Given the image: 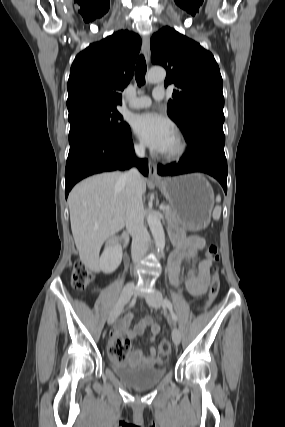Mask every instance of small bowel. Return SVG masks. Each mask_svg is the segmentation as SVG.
<instances>
[{
	"label": "small bowel",
	"mask_w": 285,
	"mask_h": 427,
	"mask_svg": "<svg viewBox=\"0 0 285 427\" xmlns=\"http://www.w3.org/2000/svg\"><path fill=\"white\" fill-rule=\"evenodd\" d=\"M172 235L174 243L176 244V249L170 255L168 262L170 279L174 284H177L182 262H189L190 267L187 271L186 288L191 295L200 296L205 292L210 279L209 270L211 261L208 259H202L198 256V253L203 249L205 242L200 236L184 237L178 230H173ZM133 317L134 314L129 312L115 324L111 331L110 347H114L116 344L127 341L126 338H137L142 335L147 328L150 329L152 340L159 335L161 327L159 324L154 323L151 317H144L135 325V327L131 328L130 324ZM155 353V348L152 346L148 347L147 355H145L141 350H135L129 354L124 363L117 362V364L151 365L154 362Z\"/></svg>",
	"instance_id": "small-bowel-1"
}]
</instances>
